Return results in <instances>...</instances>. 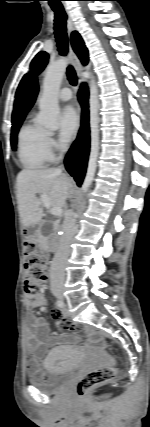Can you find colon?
Returning <instances> with one entry per match:
<instances>
[{"label": "colon", "mask_w": 150, "mask_h": 427, "mask_svg": "<svg viewBox=\"0 0 150 427\" xmlns=\"http://www.w3.org/2000/svg\"><path fill=\"white\" fill-rule=\"evenodd\" d=\"M24 249L26 257L25 291L29 295H35L48 283L49 269L33 241L26 240ZM115 374L114 367H103L85 374L76 384L77 395L86 396L94 388L112 380Z\"/></svg>", "instance_id": "colon-1"}]
</instances>
